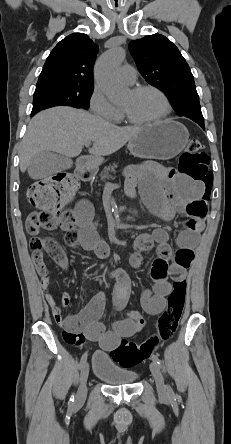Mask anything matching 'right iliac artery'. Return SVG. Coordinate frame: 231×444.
I'll return each instance as SVG.
<instances>
[{
	"instance_id": "obj_1",
	"label": "right iliac artery",
	"mask_w": 231,
	"mask_h": 444,
	"mask_svg": "<svg viewBox=\"0 0 231 444\" xmlns=\"http://www.w3.org/2000/svg\"><path fill=\"white\" fill-rule=\"evenodd\" d=\"M86 359H87V352H85L81 357L80 367H82V365L85 363ZM73 402H74V395H72L70 398V403H73Z\"/></svg>"
}]
</instances>
